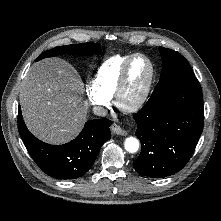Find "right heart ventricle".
Masks as SVG:
<instances>
[{
    "instance_id": "e07e8e85",
    "label": "right heart ventricle",
    "mask_w": 221,
    "mask_h": 221,
    "mask_svg": "<svg viewBox=\"0 0 221 221\" xmlns=\"http://www.w3.org/2000/svg\"><path fill=\"white\" fill-rule=\"evenodd\" d=\"M132 55H114L102 63L93 80V85L99 93L110 100L114 98L122 68Z\"/></svg>"
}]
</instances>
